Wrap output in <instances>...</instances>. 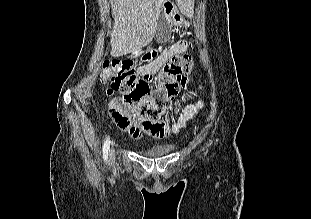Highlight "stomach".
I'll return each mask as SVG.
<instances>
[{"mask_svg":"<svg viewBox=\"0 0 311 219\" xmlns=\"http://www.w3.org/2000/svg\"><path fill=\"white\" fill-rule=\"evenodd\" d=\"M164 16L166 17V19L169 21L170 24L180 25L184 21L183 13L181 11H180V13L179 12H173L171 14L164 15Z\"/></svg>","mask_w":311,"mask_h":219,"instance_id":"stomach-1","label":"stomach"}]
</instances>
